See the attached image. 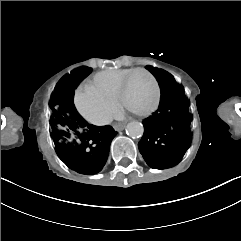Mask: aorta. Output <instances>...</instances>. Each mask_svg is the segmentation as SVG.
I'll return each mask as SVG.
<instances>
[{"instance_id":"aorta-1","label":"aorta","mask_w":241,"mask_h":241,"mask_svg":"<svg viewBox=\"0 0 241 241\" xmlns=\"http://www.w3.org/2000/svg\"><path fill=\"white\" fill-rule=\"evenodd\" d=\"M126 133L131 138H140L144 134L143 124L137 121L128 123Z\"/></svg>"}]
</instances>
